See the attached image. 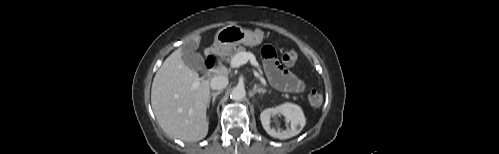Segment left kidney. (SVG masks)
Returning <instances> with one entry per match:
<instances>
[{
	"label": "left kidney",
	"mask_w": 499,
	"mask_h": 154,
	"mask_svg": "<svg viewBox=\"0 0 499 154\" xmlns=\"http://www.w3.org/2000/svg\"><path fill=\"white\" fill-rule=\"evenodd\" d=\"M281 114L290 122V128L275 130L270 127V118ZM260 119L265 131L274 138L288 139L301 132L306 124V119L300 106L293 103H284L275 108H267L260 114Z\"/></svg>",
	"instance_id": "5707ae66"
}]
</instances>
